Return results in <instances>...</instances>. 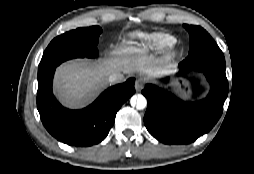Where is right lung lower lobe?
<instances>
[{
	"instance_id": "1",
	"label": "right lung lower lobe",
	"mask_w": 254,
	"mask_h": 174,
	"mask_svg": "<svg viewBox=\"0 0 254 174\" xmlns=\"http://www.w3.org/2000/svg\"><path fill=\"white\" fill-rule=\"evenodd\" d=\"M55 69L38 77L37 109L44 127L57 140L70 146L98 144L108 135L119 108L135 93V79L108 88L84 109L69 110L52 93Z\"/></svg>"
}]
</instances>
